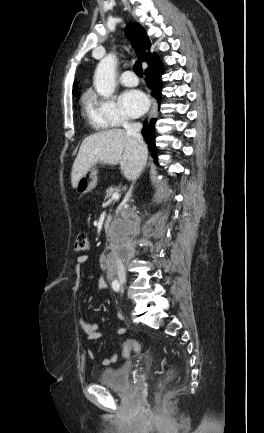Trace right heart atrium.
I'll return each mask as SVG.
<instances>
[{
	"label": "right heart atrium",
	"instance_id": "d8ad5b80",
	"mask_svg": "<svg viewBox=\"0 0 264 433\" xmlns=\"http://www.w3.org/2000/svg\"><path fill=\"white\" fill-rule=\"evenodd\" d=\"M89 99L94 117L105 126H121L130 123L129 118L113 98L92 95Z\"/></svg>",
	"mask_w": 264,
	"mask_h": 433
}]
</instances>
